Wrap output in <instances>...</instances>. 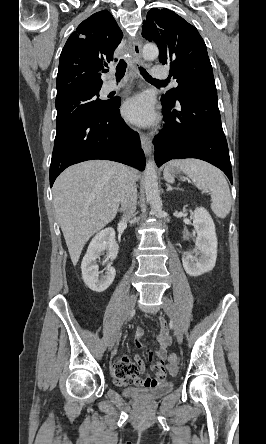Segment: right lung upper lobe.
Wrapping results in <instances>:
<instances>
[{"instance_id":"obj_1","label":"right lung upper lobe","mask_w":266,"mask_h":444,"mask_svg":"<svg viewBox=\"0 0 266 444\" xmlns=\"http://www.w3.org/2000/svg\"><path fill=\"white\" fill-rule=\"evenodd\" d=\"M122 37V31L107 10L84 20L61 52L56 98L71 92L100 90L101 71L113 61Z\"/></svg>"}]
</instances>
